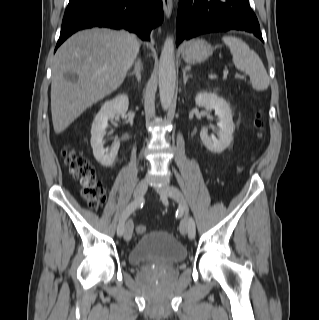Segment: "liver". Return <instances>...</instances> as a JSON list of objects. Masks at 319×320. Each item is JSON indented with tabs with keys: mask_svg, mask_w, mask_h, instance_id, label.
Returning <instances> with one entry per match:
<instances>
[{
	"mask_svg": "<svg viewBox=\"0 0 319 320\" xmlns=\"http://www.w3.org/2000/svg\"><path fill=\"white\" fill-rule=\"evenodd\" d=\"M139 43L124 30L79 31L57 50L52 65L51 113L54 132L62 133L87 108L114 92L134 63ZM77 75L70 82L65 74Z\"/></svg>",
	"mask_w": 319,
	"mask_h": 320,
	"instance_id": "6515ba94",
	"label": "liver"
}]
</instances>
